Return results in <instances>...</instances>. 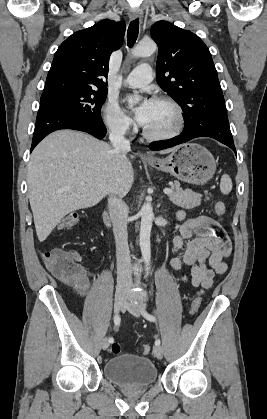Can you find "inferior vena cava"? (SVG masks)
Listing matches in <instances>:
<instances>
[{"label":"inferior vena cava","instance_id":"obj_1","mask_svg":"<svg viewBox=\"0 0 267 419\" xmlns=\"http://www.w3.org/2000/svg\"><path fill=\"white\" fill-rule=\"evenodd\" d=\"M126 129L120 125L114 126L109 133L114 150L129 151L130 142L125 139ZM121 189L117 186L110 190L108 209L113 223V232L116 243L117 257V288L129 289L132 282L131 257L128 247L127 234V206L120 195Z\"/></svg>","mask_w":267,"mask_h":419}]
</instances>
